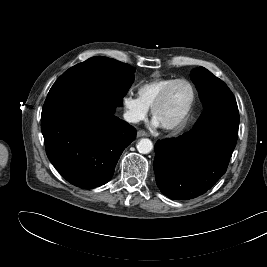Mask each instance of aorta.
I'll list each match as a JSON object with an SVG mask.
<instances>
[{
	"label": "aorta",
	"mask_w": 267,
	"mask_h": 267,
	"mask_svg": "<svg viewBox=\"0 0 267 267\" xmlns=\"http://www.w3.org/2000/svg\"><path fill=\"white\" fill-rule=\"evenodd\" d=\"M153 149V143L150 139L143 138L137 144V150L142 154H148Z\"/></svg>",
	"instance_id": "aorta-1"
}]
</instances>
